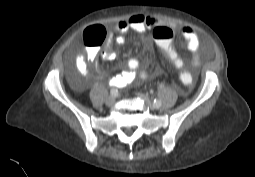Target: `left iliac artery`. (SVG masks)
Returning a JSON list of instances; mask_svg holds the SVG:
<instances>
[{"instance_id": "44dca946", "label": "left iliac artery", "mask_w": 255, "mask_h": 177, "mask_svg": "<svg viewBox=\"0 0 255 177\" xmlns=\"http://www.w3.org/2000/svg\"><path fill=\"white\" fill-rule=\"evenodd\" d=\"M153 104H154L155 107L159 108L161 106V100L155 99Z\"/></svg>"}]
</instances>
